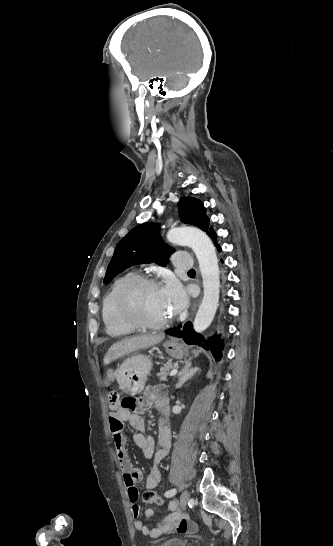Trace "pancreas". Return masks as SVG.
I'll return each instance as SVG.
<instances>
[{
    "instance_id": "cf45deb5",
    "label": "pancreas",
    "mask_w": 333,
    "mask_h": 546,
    "mask_svg": "<svg viewBox=\"0 0 333 546\" xmlns=\"http://www.w3.org/2000/svg\"><path fill=\"white\" fill-rule=\"evenodd\" d=\"M174 368L175 364H173L171 361H168L166 364H164L163 367L160 368V372L157 374L158 378L161 381H166L169 372Z\"/></svg>"
}]
</instances>
